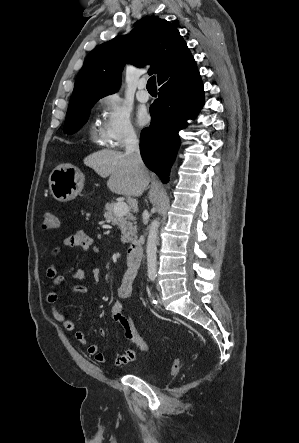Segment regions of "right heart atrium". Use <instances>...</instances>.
<instances>
[{
  "mask_svg": "<svg viewBox=\"0 0 299 443\" xmlns=\"http://www.w3.org/2000/svg\"><path fill=\"white\" fill-rule=\"evenodd\" d=\"M99 104L102 115L99 134L105 145L119 148L137 138L130 111L120 97L109 94L102 97Z\"/></svg>",
  "mask_w": 299,
  "mask_h": 443,
  "instance_id": "right-heart-atrium-1",
  "label": "right heart atrium"
}]
</instances>
